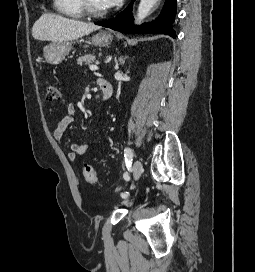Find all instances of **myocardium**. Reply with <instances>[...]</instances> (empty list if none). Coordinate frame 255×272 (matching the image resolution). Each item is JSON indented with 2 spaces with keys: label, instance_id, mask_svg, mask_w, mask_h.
Instances as JSON below:
<instances>
[{
  "label": "myocardium",
  "instance_id": "f54148a6",
  "mask_svg": "<svg viewBox=\"0 0 255 272\" xmlns=\"http://www.w3.org/2000/svg\"><path fill=\"white\" fill-rule=\"evenodd\" d=\"M81 5H82L83 11L89 16L102 17L107 14V10L98 11L94 9L91 4V0H81Z\"/></svg>",
  "mask_w": 255,
  "mask_h": 272
}]
</instances>
